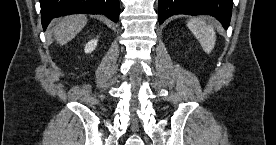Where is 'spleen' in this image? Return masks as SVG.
<instances>
[{
    "label": "spleen",
    "instance_id": "3e777b00",
    "mask_svg": "<svg viewBox=\"0 0 276 145\" xmlns=\"http://www.w3.org/2000/svg\"><path fill=\"white\" fill-rule=\"evenodd\" d=\"M188 28L200 42L203 50L209 54L214 49L216 33L214 29L198 18L190 19L187 22Z\"/></svg>",
    "mask_w": 276,
    "mask_h": 145
}]
</instances>
